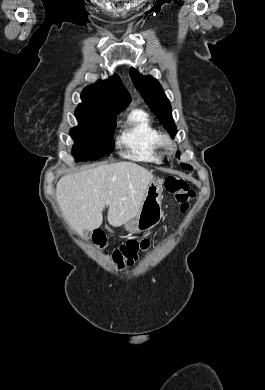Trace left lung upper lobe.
<instances>
[{
	"instance_id": "5c2ea615",
	"label": "left lung upper lobe",
	"mask_w": 265,
	"mask_h": 390,
	"mask_svg": "<svg viewBox=\"0 0 265 390\" xmlns=\"http://www.w3.org/2000/svg\"><path fill=\"white\" fill-rule=\"evenodd\" d=\"M130 76L136 89L140 92L151 111L157 116L172 138L175 137L177 129L172 118L171 105L166 97L160 83L152 76H142L135 69L131 68ZM179 157V153L177 155ZM184 169H192L187 164H181Z\"/></svg>"
}]
</instances>
